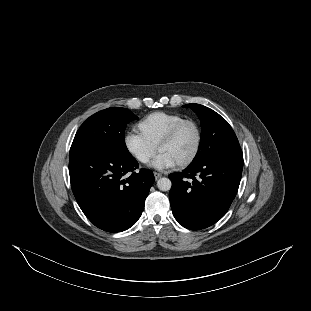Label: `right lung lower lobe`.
<instances>
[{
    "instance_id": "obj_1",
    "label": "right lung lower lobe",
    "mask_w": 311,
    "mask_h": 311,
    "mask_svg": "<svg viewBox=\"0 0 311 311\" xmlns=\"http://www.w3.org/2000/svg\"><path fill=\"white\" fill-rule=\"evenodd\" d=\"M138 163L130 154L91 146L69 157L73 194L89 220L107 232L127 230L141 216L145 199L155 181L153 172L134 170ZM128 172L132 174L125 176Z\"/></svg>"
}]
</instances>
